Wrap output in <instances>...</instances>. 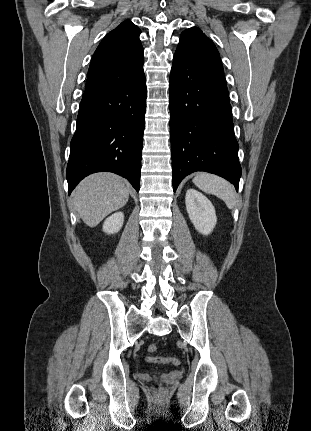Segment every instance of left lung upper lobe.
<instances>
[{
    "instance_id": "left-lung-upper-lobe-1",
    "label": "left lung upper lobe",
    "mask_w": 311,
    "mask_h": 431,
    "mask_svg": "<svg viewBox=\"0 0 311 431\" xmlns=\"http://www.w3.org/2000/svg\"><path fill=\"white\" fill-rule=\"evenodd\" d=\"M176 51L222 66L218 50L214 43L197 27L185 30L181 34Z\"/></svg>"
}]
</instances>
